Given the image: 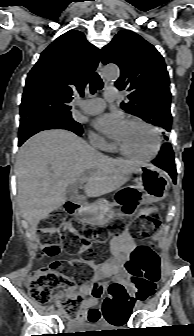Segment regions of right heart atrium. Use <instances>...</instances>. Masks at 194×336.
Wrapping results in <instances>:
<instances>
[{"mask_svg": "<svg viewBox=\"0 0 194 336\" xmlns=\"http://www.w3.org/2000/svg\"><path fill=\"white\" fill-rule=\"evenodd\" d=\"M89 141L95 148L99 150H109L111 148V145L108 144L104 138L93 132L89 134Z\"/></svg>", "mask_w": 194, "mask_h": 336, "instance_id": "1", "label": "right heart atrium"}]
</instances>
